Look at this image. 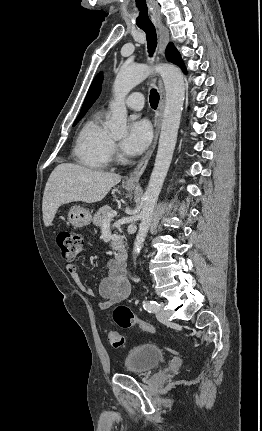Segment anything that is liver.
<instances>
[{"label":"liver","mask_w":262,"mask_h":431,"mask_svg":"<svg viewBox=\"0 0 262 431\" xmlns=\"http://www.w3.org/2000/svg\"><path fill=\"white\" fill-rule=\"evenodd\" d=\"M121 181V176L93 170L72 163L55 167L45 186L42 212L46 227L52 224L58 208L66 203L101 201L110 189Z\"/></svg>","instance_id":"obj_1"}]
</instances>
